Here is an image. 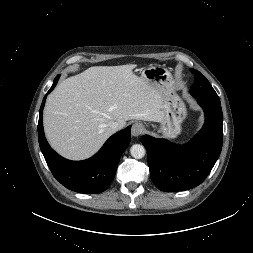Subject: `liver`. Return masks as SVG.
<instances>
[{"instance_id": "liver-1", "label": "liver", "mask_w": 253, "mask_h": 253, "mask_svg": "<svg viewBox=\"0 0 253 253\" xmlns=\"http://www.w3.org/2000/svg\"><path fill=\"white\" fill-rule=\"evenodd\" d=\"M136 64L93 66L63 80L47 97L43 124L50 145L62 156L83 160L95 154L128 120L161 122L160 89L133 73Z\"/></svg>"}]
</instances>
